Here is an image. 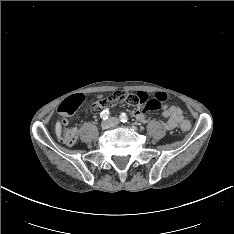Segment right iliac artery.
Segmentation results:
<instances>
[{"instance_id": "1", "label": "right iliac artery", "mask_w": 234, "mask_h": 234, "mask_svg": "<svg viewBox=\"0 0 234 234\" xmlns=\"http://www.w3.org/2000/svg\"><path fill=\"white\" fill-rule=\"evenodd\" d=\"M109 116H110V113H109V111H107V110H104V111H102V112L100 113V117H101L103 120L108 119Z\"/></svg>"}]
</instances>
